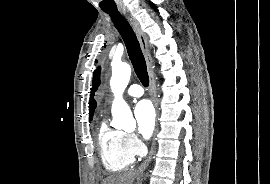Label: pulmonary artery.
Masks as SVG:
<instances>
[{"label": "pulmonary artery", "mask_w": 270, "mask_h": 184, "mask_svg": "<svg viewBox=\"0 0 270 184\" xmlns=\"http://www.w3.org/2000/svg\"><path fill=\"white\" fill-rule=\"evenodd\" d=\"M143 93V88L138 84L131 85L127 90V94L131 97H141Z\"/></svg>", "instance_id": "e3ab8cb5"}]
</instances>
